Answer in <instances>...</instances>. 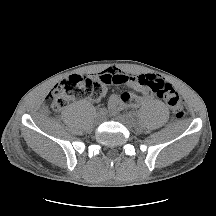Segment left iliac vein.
Listing matches in <instances>:
<instances>
[{
    "mask_svg": "<svg viewBox=\"0 0 216 216\" xmlns=\"http://www.w3.org/2000/svg\"><path fill=\"white\" fill-rule=\"evenodd\" d=\"M117 119L129 129H132L135 126V120L129 114L120 115Z\"/></svg>",
    "mask_w": 216,
    "mask_h": 216,
    "instance_id": "left-iliac-vein-1",
    "label": "left iliac vein"
}]
</instances>
